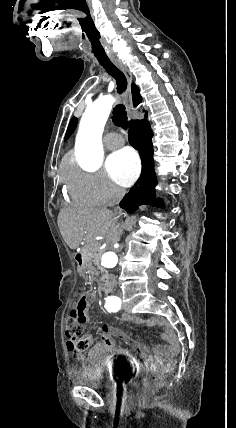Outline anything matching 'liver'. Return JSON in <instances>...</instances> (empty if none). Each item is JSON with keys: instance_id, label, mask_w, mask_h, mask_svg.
I'll use <instances>...</instances> for the list:
<instances>
[{"instance_id": "liver-1", "label": "liver", "mask_w": 236, "mask_h": 428, "mask_svg": "<svg viewBox=\"0 0 236 428\" xmlns=\"http://www.w3.org/2000/svg\"><path fill=\"white\" fill-rule=\"evenodd\" d=\"M57 222L62 238L71 250H76L83 240L87 244H96L97 236L105 238L108 246H114L120 240L117 218L106 208L61 210Z\"/></svg>"}]
</instances>
